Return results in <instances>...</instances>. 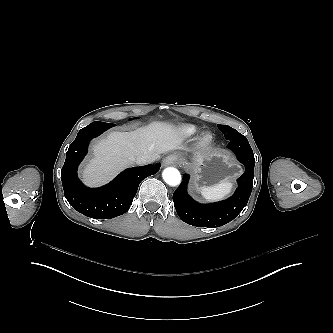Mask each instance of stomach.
Instances as JSON below:
<instances>
[{
  "instance_id": "0dacf381",
  "label": "stomach",
  "mask_w": 333,
  "mask_h": 333,
  "mask_svg": "<svg viewBox=\"0 0 333 333\" xmlns=\"http://www.w3.org/2000/svg\"><path fill=\"white\" fill-rule=\"evenodd\" d=\"M189 168L193 175L192 188L195 191H201L222 180L231 181L241 174L240 165L224 150L195 152Z\"/></svg>"
}]
</instances>
